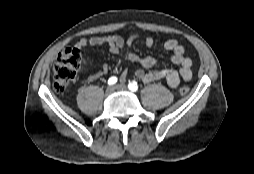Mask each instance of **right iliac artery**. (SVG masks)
<instances>
[{
    "mask_svg": "<svg viewBox=\"0 0 254 174\" xmlns=\"http://www.w3.org/2000/svg\"><path fill=\"white\" fill-rule=\"evenodd\" d=\"M117 82V78L116 77H111V78H109V80H108V84L109 85H113V84H115Z\"/></svg>",
    "mask_w": 254,
    "mask_h": 174,
    "instance_id": "obj_1",
    "label": "right iliac artery"
}]
</instances>
